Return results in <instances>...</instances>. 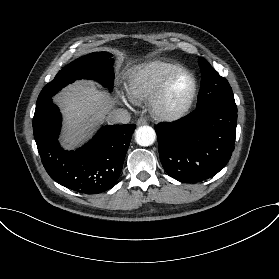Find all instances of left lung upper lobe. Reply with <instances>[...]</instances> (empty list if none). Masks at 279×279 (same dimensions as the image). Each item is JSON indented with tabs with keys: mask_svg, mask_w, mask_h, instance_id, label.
Instances as JSON below:
<instances>
[{
	"mask_svg": "<svg viewBox=\"0 0 279 279\" xmlns=\"http://www.w3.org/2000/svg\"><path fill=\"white\" fill-rule=\"evenodd\" d=\"M201 68V88L197 108L211 104H221L236 109L232 89L228 81L221 77L204 58H199Z\"/></svg>",
	"mask_w": 279,
	"mask_h": 279,
	"instance_id": "5c2ea615",
	"label": "left lung upper lobe"
}]
</instances>
